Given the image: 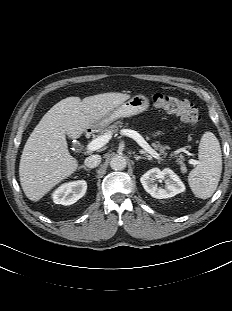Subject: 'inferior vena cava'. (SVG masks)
<instances>
[{
  "label": "inferior vena cava",
  "mask_w": 232,
  "mask_h": 311,
  "mask_svg": "<svg viewBox=\"0 0 232 311\" xmlns=\"http://www.w3.org/2000/svg\"><path fill=\"white\" fill-rule=\"evenodd\" d=\"M101 159V156L98 154L91 155L85 159L84 163L88 168H95L101 163Z\"/></svg>",
  "instance_id": "1"
}]
</instances>
